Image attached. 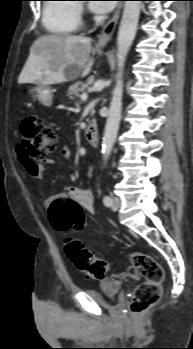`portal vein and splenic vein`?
<instances>
[{"label": "portal vein and splenic vein", "instance_id": "18ae733b", "mask_svg": "<svg viewBox=\"0 0 193 349\" xmlns=\"http://www.w3.org/2000/svg\"><path fill=\"white\" fill-rule=\"evenodd\" d=\"M87 97H88L87 93H83V94L80 96V98H81L82 101H85V100L87 99Z\"/></svg>", "mask_w": 193, "mask_h": 349}]
</instances>
